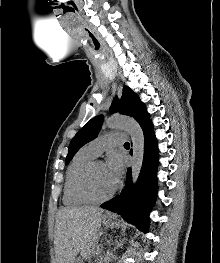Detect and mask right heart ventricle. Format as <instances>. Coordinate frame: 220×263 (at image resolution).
Masks as SVG:
<instances>
[{
    "label": "right heart ventricle",
    "mask_w": 220,
    "mask_h": 263,
    "mask_svg": "<svg viewBox=\"0 0 220 263\" xmlns=\"http://www.w3.org/2000/svg\"><path fill=\"white\" fill-rule=\"evenodd\" d=\"M94 156L85 148L79 150L70 162L64 184L63 203L75 207L89 203L78 190V181L84 169L94 160Z\"/></svg>",
    "instance_id": "obj_1"
}]
</instances>
